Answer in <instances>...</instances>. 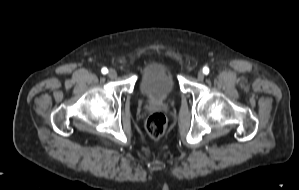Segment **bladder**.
I'll list each match as a JSON object with an SVG mask.
<instances>
[{"instance_id": "31cf9c89", "label": "bladder", "mask_w": 299, "mask_h": 190, "mask_svg": "<svg viewBox=\"0 0 299 190\" xmlns=\"http://www.w3.org/2000/svg\"><path fill=\"white\" fill-rule=\"evenodd\" d=\"M138 92L151 100H163L176 92L178 80L171 63L162 59L150 60L136 81Z\"/></svg>"}]
</instances>
